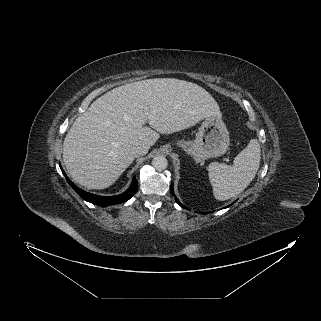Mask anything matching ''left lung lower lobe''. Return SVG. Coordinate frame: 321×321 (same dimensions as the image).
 <instances>
[{"label":"left lung lower lobe","mask_w":321,"mask_h":321,"mask_svg":"<svg viewBox=\"0 0 321 321\" xmlns=\"http://www.w3.org/2000/svg\"><path fill=\"white\" fill-rule=\"evenodd\" d=\"M171 194L172 195H174V192H173V184H171ZM175 201L181 206V207H183V208H185L180 202H179V200L177 199V198H175Z\"/></svg>","instance_id":"left-lung-lower-lobe-1"}]
</instances>
